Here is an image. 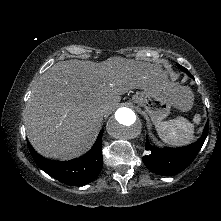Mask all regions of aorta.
<instances>
[{"mask_svg": "<svg viewBox=\"0 0 221 221\" xmlns=\"http://www.w3.org/2000/svg\"><path fill=\"white\" fill-rule=\"evenodd\" d=\"M106 130L114 138L130 140L140 134L141 124L132 109L121 107L108 119Z\"/></svg>", "mask_w": 221, "mask_h": 221, "instance_id": "aorta-1", "label": "aorta"}]
</instances>
